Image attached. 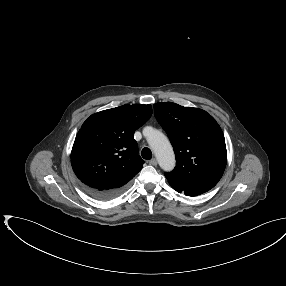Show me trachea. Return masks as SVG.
Segmentation results:
<instances>
[{
  "instance_id": "3493384b",
  "label": "trachea",
  "mask_w": 286,
  "mask_h": 286,
  "mask_svg": "<svg viewBox=\"0 0 286 286\" xmlns=\"http://www.w3.org/2000/svg\"><path fill=\"white\" fill-rule=\"evenodd\" d=\"M141 155L144 159L150 160L152 158V152L149 148L145 147L141 151Z\"/></svg>"
}]
</instances>
